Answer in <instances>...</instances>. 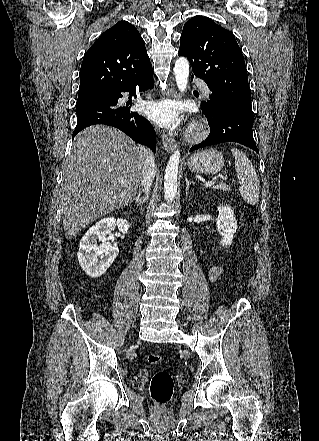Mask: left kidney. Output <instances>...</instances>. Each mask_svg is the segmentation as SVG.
<instances>
[{"instance_id": "obj_1", "label": "left kidney", "mask_w": 319, "mask_h": 441, "mask_svg": "<svg viewBox=\"0 0 319 441\" xmlns=\"http://www.w3.org/2000/svg\"><path fill=\"white\" fill-rule=\"evenodd\" d=\"M219 214L217 219V229L222 236L221 245L230 246L237 230V221L234 217V212L229 205L218 206Z\"/></svg>"}]
</instances>
